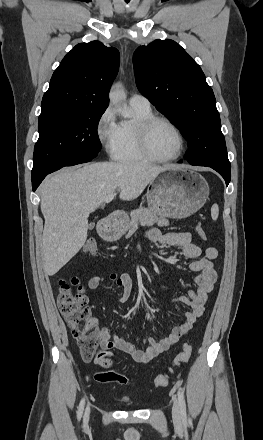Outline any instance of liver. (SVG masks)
<instances>
[{
  "instance_id": "1",
  "label": "liver",
  "mask_w": 263,
  "mask_h": 440,
  "mask_svg": "<svg viewBox=\"0 0 263 440\" xmlns=\"http://www.w3.org/2000/svg\"><path fill=\"white\" fill-rule=\"evenodd\" d=\"M173 165L142 162H100L67 168L40 186L45 219L41 253L44 271L55 275L84 245L88 217L104 199L120 189V199L134 200L160 173Z\"/></svg>"
}]
</instances>
